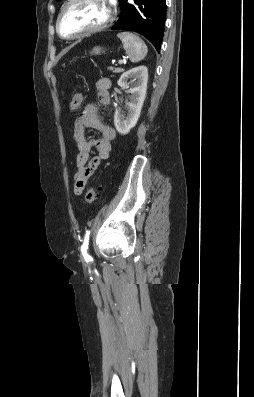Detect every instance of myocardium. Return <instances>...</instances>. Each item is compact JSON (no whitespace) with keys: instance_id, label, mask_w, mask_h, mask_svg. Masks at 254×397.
<instances>
[{"instance_id":"f54148a6","label":"myocardium","mask_w":254,"mask_h":397,"mask_svg":"<svg viewBox=\"0 0 254 397\" xmlns=\"http://www.w3.org/2000/svg\"><path fill=\"white\" fill-rule=\"evenodd\" d=\"M76 1L77 0H67V2L63 5V7L61 8V10H60V12L58 14V17H57V20H56V31H57L58 35L61 38L66 39V40L78 39V38H81V37H84V36H87V35H90V34H94V33L100 32V31L106 29L107 27H109L113 23V21L115 19V15H116V12H115L113 4L111 3L110 0H100V1L104 2L108 6V11H109L108 12V16H107V18H106V20L104 22H102L101 24H99V25H97L95 27L86 29V30L81 31V32H79L77 34H74V35H64L62 33V31H61V28H60V23H61L62 16L65 13V11L68 9V7L71 6Z\"/></svg>"}]
</instances>
